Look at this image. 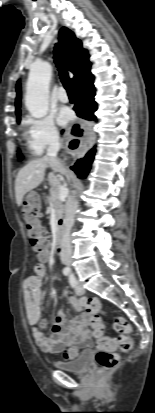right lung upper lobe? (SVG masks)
<instances>
[{"label": "right lung upper lobe", "mask_w": 155, "mask_h": 413, "mask_svg": "<svg viewBox=\"0 0 155 413\" xmlns=\"http://www.w3.org/2000/svg\"><path fill=\"white\" fill-rule=\"evenodd\" d=\"M59 40L63 47L66 56V65L69 71L74 74L72 79L73 85L85 75L91 74L88 52L82 48V43L77 39L72 31L66 27H62L59 32ZM17 98L15 101L17 120L20 119V98L21 88L20 82L16 87Z\"/></svg>", "instance_id": "obj_1"}]
</instances>
